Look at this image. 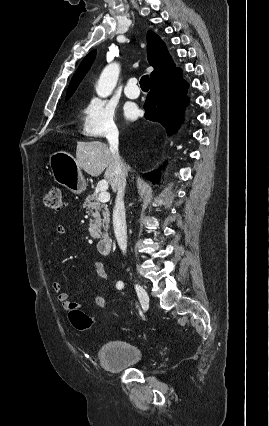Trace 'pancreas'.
I'll list each match as a JSON object with an SVG mask.
<instances>
[{"instance_id":"cf45deb5","label":"pancreas","mask_w":269,"mask_h":426,"mask_svg":"<svg viewBox=\"0 0 269 426\" xmlns=\"http://www.w3.org/2000/svg\"><path fill=\"white\" fill-rule=\"evenodd\" d=\"M84 207L92 216L89 223V233L93 238H99L101 227L108 229L110 222V212L108 206L98 200L96 194L88 195L84 202Z\"/></svg>"}]
</instances>
